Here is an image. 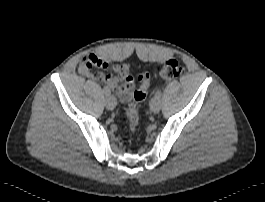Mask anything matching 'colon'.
<instances>
[{
	"label": "colon",
	"instance_id": "5ec220e1",
	"mask_svg": "<svg viewBox=\"0 0 265 202\" xmlns=\"http://www.w3.org/2000/svg\"><path fill=\"white\" fill-rule=\"evenodd\" d=\"M160 70H161V77L164 80H174L183 74L184 67L181 65L180 62L176 60H170L166 62L163 67H160ZM152 80H153L152 75L149 72H145L142 75H140L139 77L140 86L133 93V101L128 109L129 126L131 131L133 132L136 131L138 128L139 110L147 96V91L151 85Z\"/></svg>",
	"mask_w": 265,
	"mask_h": 202
}]
</instances>
